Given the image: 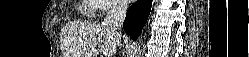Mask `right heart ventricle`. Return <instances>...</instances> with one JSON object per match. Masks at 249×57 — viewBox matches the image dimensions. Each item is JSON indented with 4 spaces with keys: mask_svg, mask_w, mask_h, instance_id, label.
Returning <instances> with one entry per match:
<instances>
[{
    "mask_svg": "<svg viewBox=\"0 0 249 57\" xmlns=\"http://www.w3.org/2000/svg\"><path fill=\"white\" fill-rule=\"evenodd\" d=\"M82 10L88 16L93 15L94 11L96 10L95 2L93 0L85 1V5L83 6Z\"/></svg>",
    "mask_w": 249,
    "mask_h": 57,
    "instance_id": "right-heart-ventricle-1",
    "label": "right heart ventricle"
}]
</instances>
